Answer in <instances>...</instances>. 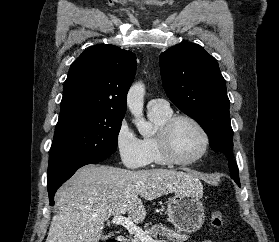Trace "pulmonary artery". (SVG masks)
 Wrapping results in <instances>:
<instances>
[{
  "label": "pulmonary artery",
  "mask_w": 279,
  "mask_h": 242,
  "mask_svg": "<svg viewBox=\"0 0 279 242\" xmlns=\"http://www.w3.org/2000/svg\"><path fill=\"white\" fill-rule=\"evenodd\" d=\"M148 108L149 109H168L169 108V105H168V102L164 99H160V98H157V99H152L149 101L148 103Z\"/></svg>",
  "instance_id": "obj_1"
}]
</instances>
